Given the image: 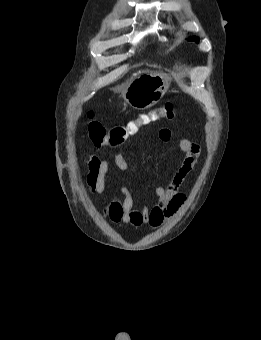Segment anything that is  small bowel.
Returning a JSON list of instances; mask_svg holds the SVG:
<instances>
[{"instance_id": "1", "label": "small bowel", "mask_w": 261, "mask_h": 340, "mask_svg": "<svg viewBox=\"0 0 261 340\" xmlns=\"http://www.w3.org/2000/svg\"><path fill=\"white\" fill-rule=\"evenodd\" d=\"M171 135V131L166 127L161 128L158 132L159 139L163 142L170 141ZM104 146L107 145L98 146V149ZM179 147L183 152V157L175 165L174 171L166 183L154 189L156 203L152 207L137 208L129 190L122 187L120 193L103 207V212L113 223L135 228L145 225L156 228L166 218L173 216L178 211L186 200V195L180 189L193 171L200 155L199 145L188 139H182L179 142ZM113 162L119 170H128V163L123 153H117ZM83 163L88 168L86 186L89 194L103 195L110 161L100 158L97 154H91L83 159Z\"/></svg>"}]
</instances>
